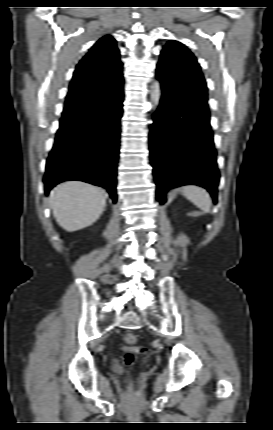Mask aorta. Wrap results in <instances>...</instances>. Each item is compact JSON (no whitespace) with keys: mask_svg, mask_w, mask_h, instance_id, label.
Masks as SVG:
<instances>
[{"mask_svg":"<svg viewBox=\"0 0 273 430\" xmlns=\"http://www.w3.org/2000/svg\"><path fill=\"white\" fill-rule=\"evenodd\" d=\"M161 98V86L160 83L157 80H154L152 87H151V95L150 99L152 103L157 105Z\"/></svg>","mask_w":273,"mask_h":430,"instance_id":"obj_1","label":"aorta"}]
</instances>
